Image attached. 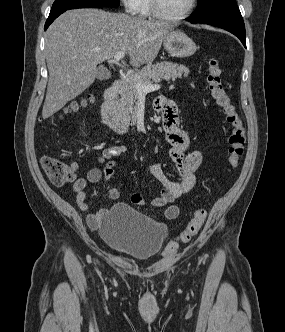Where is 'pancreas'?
Instances as JSON below:
<instances>
[{
    "instance_id": "obj_1",
    "label": "pancreas",
    "mask_w": 285,
    "mask_h": 332,
    "mask_svg": "<svg viewBox=\"0 0 285 332\" xmlns=\"http://www.w3.org/2000/svg\"><path fill=\"white\" fill-rule=\"evenodd\" d=\"M189 69L183 65L171 62H160L147 64L138 73L130 74L122 79L120 96L118 100V110L122 114L125 122L130 125L136 123V103L138 93L135 83L143 85H151L153 82H160L162 79L169 81L170 79L187 77Z\"/></svg>"
}]
</instances>
